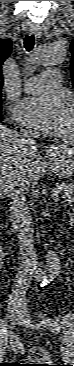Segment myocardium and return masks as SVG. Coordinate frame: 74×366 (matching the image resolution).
I'll use <instances>...</instances> for the list:
<instances>
[{"instance_id":"myocardium-1","label":"myocardium","mask_w":74,"mask_h":366,"mask_svg":"<svg viewBox=\"0 0 74 366\" xmlns=\"http://www.w3.org/2000/svg\"><path fill=\"white\" fill-rule=\"evenodd\" d=\"M71 115H72V119H71V128L67 131V135H71L74 134V108L73 106L71 107Z\"/></svg>"}]
</instances>
